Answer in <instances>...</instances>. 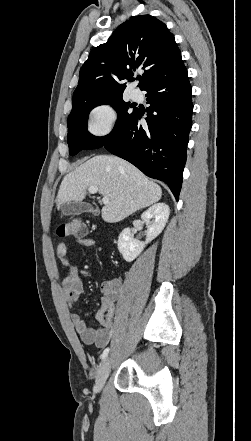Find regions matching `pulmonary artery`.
<instances>
[{"instance_id": "1", "label": "pulmonary artery", "mask_w": 251, "mask_h": 441, "mask_svg": "<svg viewBox=\"0 0 251 441\" xmlns=\"http://www.w3.org/2000/svg\"><path fill=\"white\" fill-rule=\"evenodd\" d=\"M130 96H131V98H132L133 100L137 101V100H139V99L141 98V93H140L138 90L133 89V90L130 92Z\"/></svg>"}]
</instances>
